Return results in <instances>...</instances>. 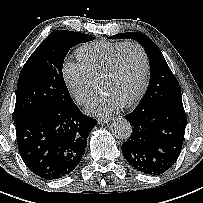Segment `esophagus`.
<instances>
[{
    "mask_svg": "<svg viewBox=\"0 0 203 203\" xmlns=\"http://www.w3.org/2000/svg\"><path fill=\"white\" fill-rule=\"evenodd\" d=\"M111 120V118H100L97 120L98 124H105L108 123Z\"/></svg>",
    "mask_w": 203,
    "mask_h": 203,
    "instance_id": "34e87169",
    "label": "esophagus"
}]
</instances>
